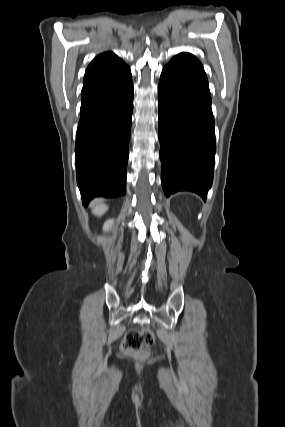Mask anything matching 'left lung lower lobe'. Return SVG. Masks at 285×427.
<instances>
[{
	"label": "left lung lower lobe",
	"mask_w": 285,
	"mask_h": 427,
	"mask_svg": "<svg viewBox=\"0 0 285 427\" xmlns=\"http://www.w3.org/2000/svg\"><path fill=\"white\" fill-rule=\"evenodd\" d=\"M158 108L165 195L187 190L205 200L214 173V119L207 76L190 53L174 56L163 68Z\"/></svg>",
	"instance_id": "left-lung-lower-lobe-1"
}]
</instances>
